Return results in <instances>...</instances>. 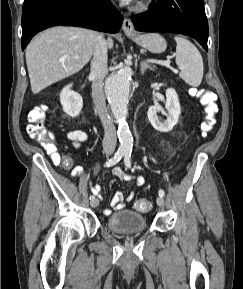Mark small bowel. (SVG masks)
Wrapping results in <instances>:
<instances>
[{"mask_svg": "<svg viewBox=\"0 0 243 289\" xmlns=\"http://www.w3.org/2000/svg\"><path fill=\"white\" fill-rule=\"evenodd\" d=\"M67 138L73 142V145L76 148H80L84 142L88 140V134L85 131L82 130H71L68 131L66 134ZM82 173V170L80 168H76L74 171V174L76 176H80ZM113 174L120 180L129 182L134 181L137 186H141L144 184L145 179L142 176H133L125 172L122 168L116 167L113 169ZM91 190L94 194H97L100 196V186L96 185L91 187ZM134 197V193L131 192L127 196H125L122 192L117 191L113 195L111 199V207L113 210H121L125 207L126 203L131 201ZM112 211L110 209H105L104 213L106 215H109Z\"/></svg>", "mask_w": 243, "mask_h": 289, "instance_id": "small-bowel-1", "label": "small bowel"}]
</instances>
